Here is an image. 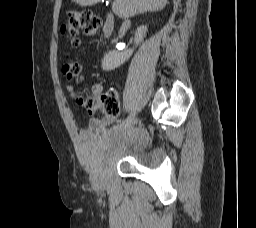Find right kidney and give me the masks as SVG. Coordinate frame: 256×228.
I'll list each match as a JSON object with an SVG mask.
<instances>
[{"mask_svg":"<svg viewBox=\"0 0 256 228\" xmlns=\"http://www.w3.org/2000/svg\"><path fill=\"white\" fill-rule=\"evenodd\" d=\"M147 27L142 25L137 28L135 32V45H139L145 37ZM133 49L126 50L124 52L109 51L102 60V69L105 71L114 70L122 64H124L133 54Z\"/></svg>","mask_w":256,"mask_h":228,"instance_id":"obj_1","label":"right kidney"}]
</instances>
